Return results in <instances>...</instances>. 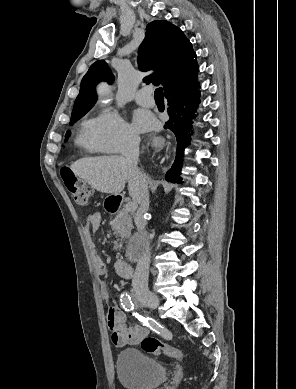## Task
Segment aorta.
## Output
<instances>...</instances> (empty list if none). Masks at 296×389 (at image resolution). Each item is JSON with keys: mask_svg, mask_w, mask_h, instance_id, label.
Wrapping results in <instances>:
<instances>
[{"mask_svg": "<svg viewBox=\"0 0 296 389\" xmlns=\"http://www.w3.org/2000/svg\"><path fill=\"white\" fill-rule=\"evenodd\" d=\"M98 94L102 100H107L110 94L109 87L106 84H101L98 87ZM148 240L141 234L135 235L130 241L127 248V255L132 260H137L147 249Z\"/></svg>", "mask_w": 296, "mask_h": 389, "instance_id": "762f6f07", "label": "aorta"}]
</instances>
